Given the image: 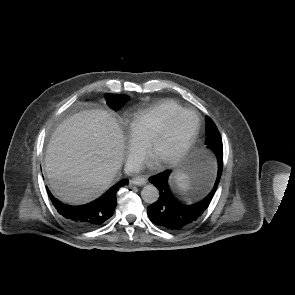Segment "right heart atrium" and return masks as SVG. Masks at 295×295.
I'll use <instances>...</instances> for the list:
<instances>
[{
  "instance_id": "1",
  "label": "right heart atrium",
  "mask_w": 295,
  "mask_h": 295,
  "mask_svg": "<svg viewBox=\"0 0 295 295\" xmlns=\"http://www.w3.org/2000/svg\"><path fill=\"white\" fill-rule=\"evenodd\" d=\"M145 155V146L136 141L132 136L127 141V166L130 170H137Z\"/></svg>"
}]
</instances>
